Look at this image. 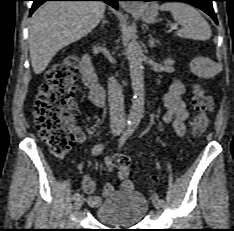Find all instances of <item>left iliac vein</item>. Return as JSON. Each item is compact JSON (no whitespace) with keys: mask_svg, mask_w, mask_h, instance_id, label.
<instances>
[{"mask_svg":"<svg viewBox=\"0 0 234 231\" xmlns=\"http://www.w3.org/2000/svg\"><path fill=\"white\" fill-rule=\"evenodd\" d=\"M152 202H153V205L156 209H159L160 208V204H159V198H158V195L157 194H153L152 196Z\"/></svg>","mask_w":234,"mask_h":231,"instance_id":"obj_1","label":"left iliac vein"}]
</instances>
